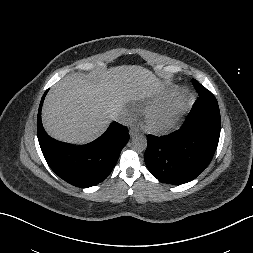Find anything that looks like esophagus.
<instances>
[{"label":"esophagus","mask_w":253,"mask_h":253,"mask_svg":"<svg viewBox=\"0 0 253 253\" xmlns=\"http://www.w3.org/2000/svg\"><path fill=\"white\" fill-rule=\"evenodd\" d=\"M138 128L137 127H135V126H132L130 129H129V135L130 136H133V135H135L136 133H138Z\"/></svg>","instance_id":"obj_1"}]
</instances>
